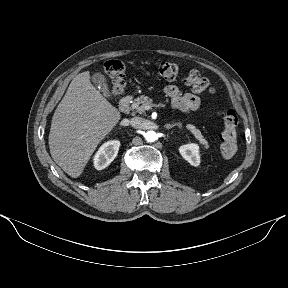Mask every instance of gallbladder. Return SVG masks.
Segmentation results:
<instances>
[{"mask_svg":"<svg viewBox=\"0 0 288 288\" xmlns=\"http://www.w3.org/2000/svg\"><path fill=\"white\" fill-rule=\"evenodd\" d=\"M91 79L95 84L100 85L103 89H107L106 78L101 72L93 74Z\"/></svg>","mask_w":288,"mask_h":288,"instance_id":"bac80fb5","label":"gallbladder"}]
</instances>
